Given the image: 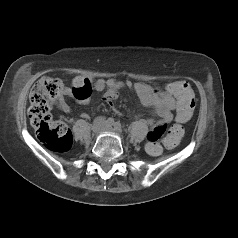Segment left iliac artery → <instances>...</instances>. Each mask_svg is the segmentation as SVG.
I'll list each match as a JSON object with an SVG mask.
<instances>
[{
	"label": "left iliac artery",
	"instance_id": "1",
	"mask_svg": "<svg viewBox=\"0 0 238 238\" xmlns=\"http://www.w3.org/2000/svg\"><path fill=\"white\" fill-rule=\"evenodd\" d=\"M114 128L117 130V131H121V124H120V122H115V124H114Z\"/></svg>",
	"mask_w": 238,
	"mask_h": 238
}]
</instances>
